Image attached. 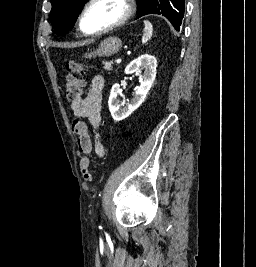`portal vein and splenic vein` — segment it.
Instances as JSON below:
<instances>
[{
    "instance_id": "1",
    "label": "portal vein and splenic vein",
    "mask_w": 256,
    "mask_h": 267,
    "mask_svg": "<svg viewBox=\"0 0 256 267\" xmlns=\"http://www.w3.org/2000/svg\"><path fill=\"white\" fill-rule=\"evenodd\" d=\"M116 63L122 64L123 60L122 59L116 60Z\"/></svg>"
}]
</instances>
